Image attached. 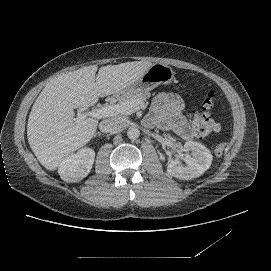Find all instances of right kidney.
I'll list each match as a JSON object with an SVG mask.
<instances>
[{"label":"right kidney","instance_id":"ca27d5eb","mask_svg":"<svg viewBox=\"0 0 271 271\" xmlns=\"http://www.w3.org/2000/svg\"><path fill=\"white\" fill-rule=\"evenodd\" d=\"M95 151L82 147L75 153L65 156L57 165V173L65 182H77L85 178L94 163Z\"/></svg>","mask_w":271,"mask_h":271}]
</instances>
